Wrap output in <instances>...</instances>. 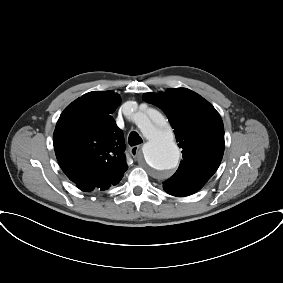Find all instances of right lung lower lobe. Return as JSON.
<instances>
[{
  "label": "right lung lower lobe",
  "mask_w": 283,
  "mask_h": 283,
  "mask_svg": "<svg viewBox=\"0 0 283 283\" xmlns=\"http://www.w3.org/2000/svg\"><path fill=\"white\" fill-rule=\"evenodd\" d=\"M61 168L64 170V169H68V165L66 164H60Z\"/></svg>",
  "instance_id": "right-lung-lower-lobe-1"
}]
</instances>
